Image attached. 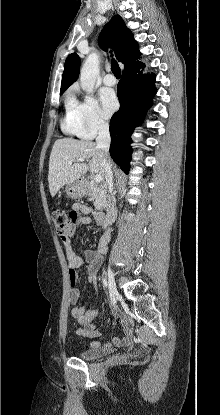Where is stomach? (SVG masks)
Wrapping results in <instances>:
<instances>
[{
  "label": "stomach",
  "mask_w": 220,
  "mask_h": 415,
  "mask_svg": "<svg viewBox=\"0 0 220 415\" xmlns=\"http://www.w3.org/2000/svg\"><path fill=\"white\" fill-rule=\"evenodd\" d=\"M65 191L71 198H81L86 194V185L82 181H76L71 184H67Z\"/></svg>",
  "instance_id": "stomach-1"
}]
</instances>
